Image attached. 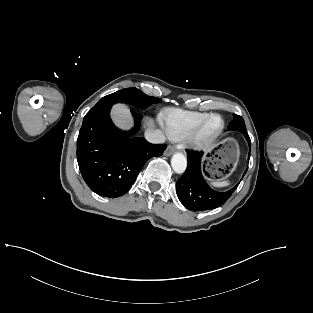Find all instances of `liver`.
Wrapping results in <instances>:
<instances>
[{
  "instance_id": "1",
  "label": "liver",
  "mask_w": 313,
  "mask_h": 313,
  "mask_svg": "<svg viewBox=\"0 0 313 313\" xmlns=\"http://www.w3.org/2000/svg\"><path fill=\"white\" fill-rule=\"evenodd\" d=\"M112 119L120 128H128L131 125L132 119L129 110L125 105L117 104L112 109ZM147 125L153 124L152 120H147Z\"/></svg>"
}]
</instances>
